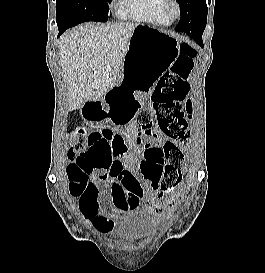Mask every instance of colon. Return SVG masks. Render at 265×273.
Masks as SVG:
<instances>
[{
	"label": "colon",
	"instance_id": "5ec220e1",
	"mask_svg": "<svg viewBox=\"0 0 265 273\" xmlns=\"http://www.w3.org/2000/svg\"><path fill=\"white\" fill-rule=\"evenodd\" d=\"M197 55L195 48L188 44L180 47V53L170 69L158 80L154 89L152 108H143L137 123L143 132L136 144L145 145V136L156 124L161 134L168 140H157L151 151L159 158L166 159L161 169L152 176V187L156 197L171 208L178 200L176 187L182 180V166L185 152L181 145L188 136V122L192 118L193 107L186 101L190 85L188 78L193 69V61ZM119 135L110 130L76 129L72 136V145L68 158L72 163L67 165L69 190L71 194L88 193L96 195L97 185L89 180L92 173L105 171L111 165V142Z\"/></svg>",
	"mask_w": 265,
	"mask_h": 273
}]
</instances>
